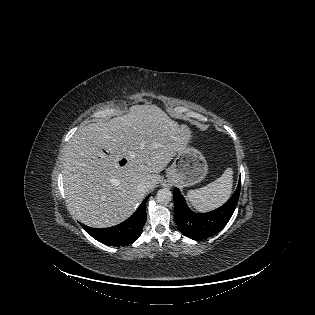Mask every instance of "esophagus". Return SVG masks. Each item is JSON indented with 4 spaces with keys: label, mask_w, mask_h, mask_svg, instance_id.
Returning <instances> with one entry per match:
<instances>
[{
    "label": "esophagus",
    "mask_w": 315,
    "mask_h": 315,
    "mask_svg": "<svg viewBox=\"0 0 315 315\" xmlns=\"http://www.w3.org/2000/svg\"><path fill=\"white\" fill-rule=\"evenodd\" d=\"M163 185H164L165 187H168V186H169V184H168V183H164Z\"/></svg>",
    "instance_id": "obj_1"
}]
</instances>
